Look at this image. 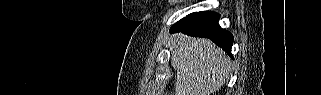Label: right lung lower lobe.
I'll use <instances>...</instances> for the list:
<instances>
[{"label": "right lung lower lobe", "instance_id": "obj_1", "mask_svg": "<svg viewBox=\"0 0 321 95\" xmlns=\"http://www.w3.org/2000/svg\"><path fill=\"white\" fill-rule=\"evenodd\" d=\"M219 14L202 11L180 20L171 27L172 32H183L190 36L206 37L231 55L233 36L218 24Z\"/></svg>", "mask_w": 321, "mask_h": 95}]
</instances>
